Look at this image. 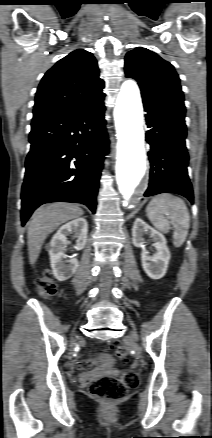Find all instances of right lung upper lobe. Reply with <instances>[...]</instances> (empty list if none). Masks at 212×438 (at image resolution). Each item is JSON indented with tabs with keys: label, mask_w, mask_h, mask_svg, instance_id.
<instances>
[{
	"label": "right lung upper lobe",
	"mask_w": 212,
	"mask_h": 438,
	"mask_svg": "<svg viewBox=\"0 0 212 438\" xmlns=\"http://www.w3.org/2000/svg\"><path fill=\"white\" fill-rule=\"evenodd\" d=\"M104 81L94 56L78 49L58 61L38 87L33 119L91 108L103 102Z\"/></svg>",
	"instance_id": "1"
}]
</instances>
